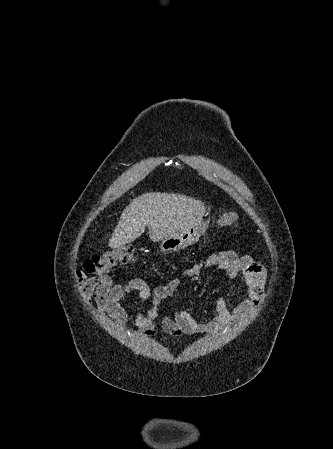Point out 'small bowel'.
<instances>
[{"label":"small bowel","mask_w":333,"mask_h":449,"mask_svg":"<svg viewBox=\"0 0 333 449\" xmlns=\"http://www.w3.org/2000/svg\"><path fill=\"white\" fill-rule=\"evenodd\" d=\"M205 265L217 267L230 278L241 274L247 292L232 311L228 309L225 297L221 296L215 304L214 317L207 324L198 322L185 310H178L172 316L160 318L159 308L162 301L175 295L181 277H175L165 285L153 289L139 278L115 283L109 275L87 276L85 271H77L75 277L84 300L88 304L94 301L101 316L108 315L117 325H125L128 314L120 301L128 295L137 294L139 305L136 308L135 325L138 333L153 336L159 321L167 335L181 338L183 335H197L236 325L259 305L264 295L266 271L252 257L237 255L233 251H222L210 256ZM202 266L201 263L193 265L184 272L183 277L197 276ZM144 303L149 304L146 312L143 311Z\"/></svg>","instance_id":"1"}]
</instances>
